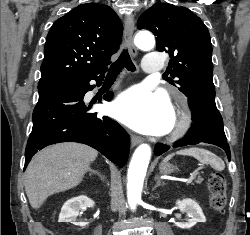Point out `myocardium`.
I'll return each instance as SVG.
<instances>
[{
  "label": "myocardium",
  "instance_id": "myocardium-1",
  "mask_svg": "<svg viewBox=\"0 0 250 235\" xmlns=\"http://www.w3.org/2000/svg\"><path fill=\"white\" fill-rule=\"evenodd\" d=\"M192 124V115L185 101L181 102V106L174 113L173 126L167 136V140L174 141L183 137Z\"/></svg>",
  "mask_w": 250,
  "mask_h": 235
}]
</instances>
